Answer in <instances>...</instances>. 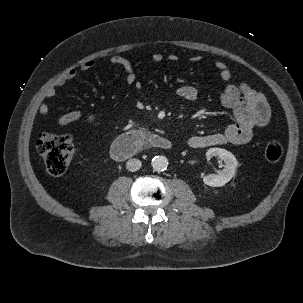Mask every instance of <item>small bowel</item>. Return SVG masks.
<instances>
[{"label": "small bowel", "instance_id": "small-bowel-1", "mask_svg": "<svg viewBox=\"0 0 303 303\" xmlns=\"http://www.w3.org/2000/svg\"><path fill=\"white\" fill-rule=\"evenodd\" d=\"M155 63H161L164 60L169 62H177L178 57L175 54L164 56L162 53H154L151 57ZM201 60L200 56H193L190 61L197 63ZM110 62L114 65L120 66L126 76L125 82L128 86L136 84L137 78L132 62L120 55L111 57ZM95 66L93 60H87L81 64L82 71H89ZM218 70L220 78L226 82L223 93L221 95V102L224 106L231 108L234 115V123L228 125L223 131L209 135L192 136L188 139L187 144L194 149L206 148L224 144L241 145L251 140L254 131L257 128L266 127L270 121V109L265 96L253 90L246 83H232V73L227 65L222 61L214 63ZM77 76L75 69H70L63 76H61L55 84L50 87L45 96L52 98L55 96L56 87L63 86L66 82L74 79ZM177 95L185 100L194 101L198 98L199 91L193 85H181L177 88ZM39 112L42 115L49 113V107L43 103L39 107ZM82 114L79 111H71L58 117L57 123L59 125H67L69 123L81 119Z\"/></svg>", "mask_w": 303, "mask_h": 303}]
</instances>
